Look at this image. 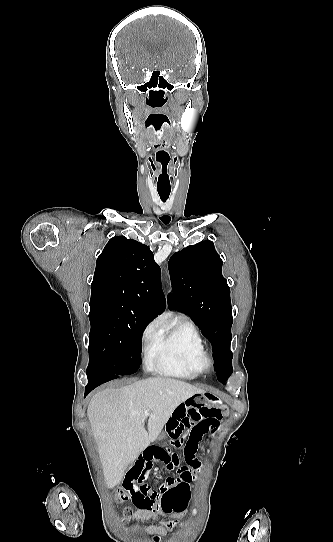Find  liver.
<instances>
[{"label":"liver","instance_id":"liver-1","mask_svg":"<svg viewBox=\"0 0 333 542\" xmlns=\"http://www.w3.org/2000/svg\"><path fill=\"white\" fill-rule=\"evenodd\" d=\"M203 392L202 388L171 376H156L117 390L97 392L89 402L87 416L107 488L122 482L126 468L150 442L157 440L175 408ZM146 410L148 416L144 414Z\"/></svg>","mask_w":333,"mask_h":542}]
</instances>
